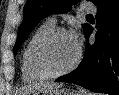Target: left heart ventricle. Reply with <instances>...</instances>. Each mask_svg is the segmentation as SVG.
I'll use <instances>...</instances> for the list:
<instances>
[{
    "label": "left heart ventricle",
    "mask_w": 119,
    "mask_h": 95,
    "mask_svg": "<svg viewBox=\"0 0 119 95\" xmlns=\"http://www.w3.org/2000/svg\"><path fill=\"white\" fill-rule=\"evenodd\" d=\"M77 55V44L69 34H60L45 50V63L53 71L68 67Z\"/></svg>",
    "instance_id": "1"
}]
</instances>
